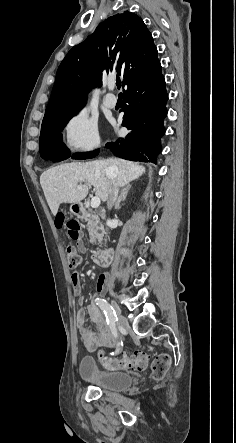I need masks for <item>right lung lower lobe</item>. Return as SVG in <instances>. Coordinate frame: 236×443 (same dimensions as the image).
I'll return each mask as SVG.
<instances>
[{"label":"right lung lower lobe","instance_id":"98d812e1","mask_svg":"<svg viewBox=\"0 0 236 443\" xmlns=\"http://www.w3.org/2000/svg\"><path fill=\"white\" fill-rule=\"evenodd\" d=\"M165 85L159 61L127 84L123 98L128 105L123 108L122 126L130 133L119 142L107 143L106 148L124 159L156 163V156L161 151L160 138L165 133L163 119L167 116ZM97 153L98 150L75 153L72 158L89 159ZM40 155L45 160L58 162L69 158L71 153L63 144L45 148Z\"/></svg>","mask_w":236,"mask_h":443}]
</instances>
